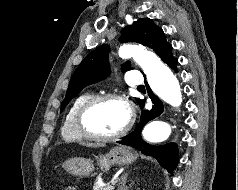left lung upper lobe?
I'll return each mask as SVG.
<instances>
[{"mask_svg":"<svg viewBox=\"0 0 238 190\" xmlns=\"http://www.w3.org/2000/svg\"><path fill=\"white\" fill-rule=\"evenodd\" d=\"M121 42H137L152 48L163 60L172 52V46L165 38L161 28L154 24L150 18H140L131 26H126L121 31ZM109 47L102 45L89 53L74 72L69 83L66 96L61 104V111L81 90L109 75L108 66ZM130 70V62L122 65V70ZM140 100L137 99V102Z\"/></svg>","mask_w":238,"mask_h":190,"instance_id":"1","label":"left lung upper lobe"}]
</instances>
